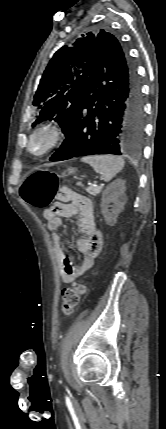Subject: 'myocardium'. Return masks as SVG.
Segmentation results:
<instances>
[{"mask_svg": "<svg viewBox=\"0 0 166 429\" xmlns=\"http://www.w3.org/2000/svg\"><path fill=\"white\" fill-rule=\"evenodd\" d=\"M62 136V128L58 122L47 120L35 127L28 135L26 151L33 157L40 158L51 152L59 143ZM43 139L44 146L34 150L32 144L36 139Z\"/></svg>", "mask_w": 166, "mask_h": 429, "instance_id": "obj_1", "label": "myocardium"}]
</instances>
